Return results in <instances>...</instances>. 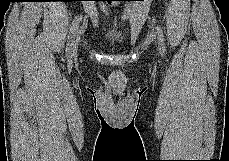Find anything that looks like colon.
I'll return each instance as SVG.
<instances>
[{"mask_svg":"<svg viewBox=\"0 0 229 161\" xmlns=\"http://www.w3.org/2000/svg\"><path fill=\"white\" fill-rule=\"evenodd\" d=\"M136 1H144V0H136Z\"/></svg>","mask_w":229,"mask_h":161,"instance_id":"5ec220e1","label":"colon"}]
</instances>
